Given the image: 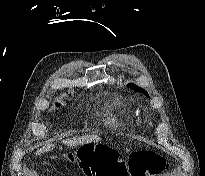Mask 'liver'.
I'll return each mask as SVG.
<instances>
[{
	"instance_id": "6515ba94",
	"label": "liver",
	"mask_w": 205,
	"mask_h": 176,
	"mask_svg": "<svg viewBox=\"0 0 205 176\" xmlns=\"http://www.w3.org/2000/svg\"><path fill=\"white\" fill-rule=\"evenodd\" d=\"M100 140V137L97 135H87L82 137H73L70 139L63 140V143L69 147L84 145L92 142H97ZM53 149V145H47L39 150H37L36 155H40L44 152H48Z\"/></svg>"
}]
</instances>
